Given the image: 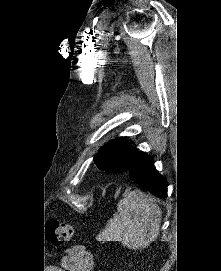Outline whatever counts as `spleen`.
I'll use <instances>...</instances> for the list:
<instances>
[{
    "mask_svg": "<svg viewBox=\"0 0 221 271\" xmlns=\"http://www.w3.org/2000/svg\"><path fill=\"white\" fill-rule=\"evenodd\" d=\"M162 209L136 189L117 203V211L108 219L99 241H121L129 249H143L157 239Z\"/></svg>",
    "mask_w": 221,
    "mask_h": 271,
    "instance_id": "obj_1",
    "label": "spleen"
}]
</instances>
